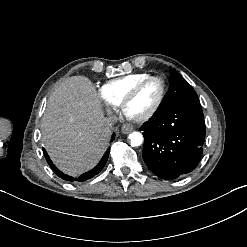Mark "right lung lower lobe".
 I'll return each instance as SVG.
<instances>
[{
  "label": "right lung lower lobe",
  "instance_id": "right-lung-lower-lobe-1",
  "mask_svg": "<svg viewBox=\"0 0 247 247\" xmlns=\"http://www.w3.org/2000/svg\"><path fill=\"white\" fill-rule=\"evenodd\" d=\"M114 137H115V135L113 134V136L111 138L112 141L114 140ZM43 152H44V156L46 158V161L48 162L49 166L52 168V170L54 171V173L57 176H59L60 178L66 180V181H86L87 179H90V178L94 177L95 175H97L104 168V166H105V164H106V162L108 160V157H109L110 149H108L106 151L105 155L103 156V158L101 159V161L98 163V165L95 168H93L89 172H86V173L82 174L78 178H73L71 176H68V175L64 174L60 170H58L56 168V166L50 160V158H49L47 152L45 151V149H43Z\"/></svg>",
  "mask_w": 247,
  "mask_h": 247
}]
</instances>
